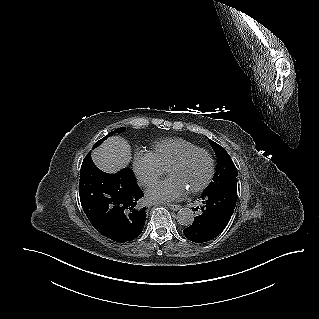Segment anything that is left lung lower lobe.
Returning a JSON list of instances; mask_svg holds the SVG:
<instances>
[{
	"mask_svg": "<svg viewBox=\"0 0 319 319\" xmlns=\"http://www.w3.org/2000/svg\"><path fill=\"white\" fill-rule=\"evenodd\" d=\"M200 215L192 225L184 229V235L196 243H203L217 237L227 226L237 202V186H230L212 192H204L197 200Z\"/></svg>",
	"mask_w": 319,
	"mask_h": 319,
	"instance_id": "1",
	"label": "left lung lower lobe"
}]
</instances>
